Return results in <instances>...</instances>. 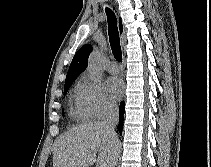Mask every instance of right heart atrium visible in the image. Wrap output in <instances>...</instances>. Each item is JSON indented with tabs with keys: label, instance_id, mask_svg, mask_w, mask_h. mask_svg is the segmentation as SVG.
Wrapping results in <instances>:
<instances>
[{
	"label": "right heart atrium",
	"instance_id": "1",
	"mask_svg": "<svg viewBox=\"0 0 211 167\" xmlns=\"http://www.w3.org/2000/svg\"><path fill=\"white\" fill-rule=\"evenodd\" d=\"M82 105L90 118L100 119L115 111V104L105 94L101 82L85 74L79 82Z\"/></svg>",
	"mask_w": 211,
	"mask_h": 167
}]
</instances>
